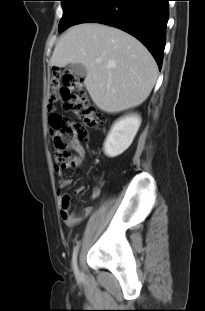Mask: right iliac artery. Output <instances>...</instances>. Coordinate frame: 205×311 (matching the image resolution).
<instances>
[{
    "label": "right iliac artery",
    "mask_w": 205,
    "mask_h": 311,
    "mask_svg": "<svg viewBox=\"0 0 205 311\" xmlns=\"http://www.w3.org/2000/svg\"><path fill=\"white\" fill-rule=\"evenodd\" d=\"M78 249H79V246L77 245L74 248L73 255H72V266H73L74 273L76 275H77V255H78Z\"/></svg>",
    "instance_id": "obj_1"
}]
</instances>
